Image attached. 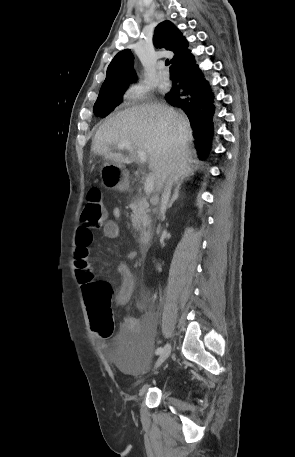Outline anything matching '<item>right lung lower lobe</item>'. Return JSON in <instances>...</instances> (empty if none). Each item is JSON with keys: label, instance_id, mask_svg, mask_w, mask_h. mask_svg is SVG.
I'll return each instance as SVG.
<instances>
[{"label": "right lung lower lobe", "instance_id": "obj_1", "mask_svg": "<svg viewBox=\"0 0 295 457\" xmlns=\"http://www.w3.org/2000/svg\"><path fill=\"white\" fill-rule=\"evenodd\" d=\"M176 70L179 84L172 87L165 99L180 107L187 114L196 139L195 144L200 156H206L212 138V115L214 113L213 95L189 50L179 56L172 64Z\"/></svg>", "mask_w": 295, "mask_h": 457}]
</instances>
